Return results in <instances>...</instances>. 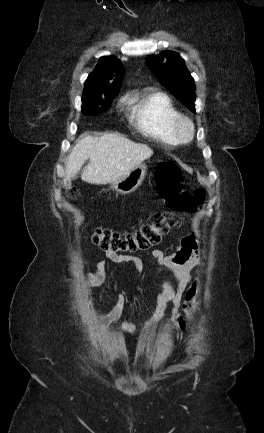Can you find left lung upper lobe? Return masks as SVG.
Segmentation results:
<instances>
[{
    "label": "left lung upper lobe",
    "instance_id": "obj_1",
    "mask_svg": "<svg viewBox=\"0 0 264 433\" xmlns=\"http://www.w3.org/2000/svg\"><path fill=\"white\" fill-rule=\"evenodd\" d=\"M146 63L158 80L184 105L195 112V84L184 60L175 52L148 56Z\"/></svg>",
    "mask_w": 264,
    "mask_h": 433
}]
</instances>
